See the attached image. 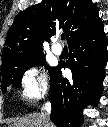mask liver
Wrapping results in <instances>:
<instances>
[{
  "instance_id": "1",
  "label": "liver",
  "mask_w": 108,
  "mask_h": 127,
  "mask_svg": "<svg viewBox=\"0 0 108 127\" xmlns=\"http://www.w3.org/2000/svg\"><path fill=\"white\" fill-rule=\"evenodd\" d=\"M10 127H54V125L51 122L47 123L41 113H31L20 118Z\"/></svg>"
}]
</instances>
